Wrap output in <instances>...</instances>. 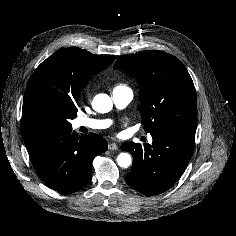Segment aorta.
<instances>
[{
  "instance_id": "1",
  "label": "aorta",
  "mask_w": 236,
  "mask_h": 236,
  "mask_svg": "<svg viewBox=\"0 0 236 236\" xmlns=\"http://www.w3.org/2000/svg\"><path fill=\"white\" fill-rule=\"evenodd\" d=\"M92 106L97 112L107 113L112 109L113 103L107 94H99L94 98ZM117 163L122 168L129 167L132 163L130 154L120 153L117 157Z\"/></svg>"
}]
</instances>
